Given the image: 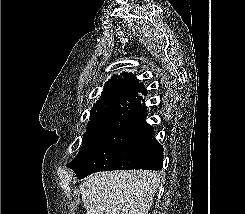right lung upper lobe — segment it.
Returning a JSON list of instances; mask_svg holds the SVG:
<instances>
[{
    "label": "right lung upper lobe",
    "instance_id": "obj_1",
    "mask_svg": "<svg viewBox=\"0 0 245 214\" xmlns=\"http://www.w3.org/2000/svg\"><path fill=\"white\" fill-rule=\"evenodd\" d=\"M147 93L135 75H114L105 85L101 99L91 110L88 131L84 134L104 135L117 129L132 128L141 118V98Z\"/></svg>",
    "mask_w": 245,
    "mask_h": 214
}]
</instances>
